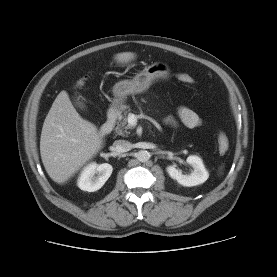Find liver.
Segmentation results:
<instances>
[{"instance_id": "liver-1", "label": "liver", "mask_w": 277, "mask_h": 277, "mask_svg": "<svg viewBox=\"0 0 277 277\" xmlns=\"http://www.w3.org/2000/svg\"><path fill=\"white\" fill-rule=\"evenodd\" d=\"M131 52L118 53L114 60L125 64L134 60ZM104 145L97 127L83 119L66 91L54 100L43 123L40 154L49 177L58 184L67 181L90 161Z\"/></svg>"}]
</instances>
